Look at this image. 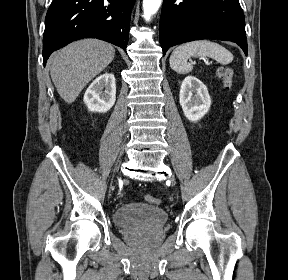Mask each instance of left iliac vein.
<instances>
[{
    "label": "left iliac vein",
    "mask_w": 288,
    "mask_h": 280,
    "mask_svg": "<svg viewBox=\"0 0 288 280\" xmlns=\"http://www.w3.org/2000/svg\"><path fill=\"white\" fill-rule=\"evenodd\" d=\"M174 179H173V177L171 178V181H173Z\"/></svg>",
    "instance_id": "left-iliac-vein-1"
}]
</instances>
